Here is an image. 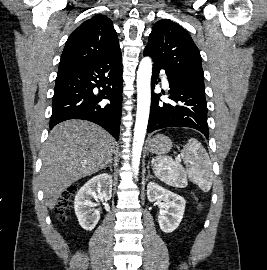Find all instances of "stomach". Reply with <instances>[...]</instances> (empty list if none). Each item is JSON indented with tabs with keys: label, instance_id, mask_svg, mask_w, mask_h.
Segmentation results:
<instances>
[{
	"label": "stomach",
	"instance_id": "1",
	"mask_svg": "<svg viewBox=\"0 0 267 270\" xmlns=\"http://www.w3.org/2000/svg\"><path fill=\"white\" fill-rule=\"evenodd\" d=\"M147 148L152 153L163 155L171 150L172 141L169 137L162 134H158L148 140Z\"/></svg>",
	"mask_w": 267,
	"mask_h": 270
}]
</instances>
